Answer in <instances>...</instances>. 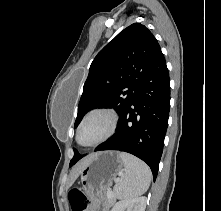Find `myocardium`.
<instances>
[{
	"instance_id": "1",
	"label": "myocardium",
	"mask_w": 221,
	"mask_h": 211,
	"mask_svg": "<svg viewBox=\"0 0 221 211\" xmlns=\"http://www.w3.org/2000/svg\"><path fill=\"white\" fill-rule=\"evenodd\" d=\"M102 115L105 116L108 120V127L105 131V133L96 141L89 143V144H83L80 141V133L85 125V123L92 117ZM118 126V115L114 110L108 107H96L88 111L80 121L77 131H76V141L79 145L83 147H95L97 145H100L101 143L107 141L109 138L113 136Z\"/></svg>"
}]
</instances>
